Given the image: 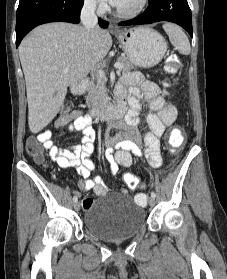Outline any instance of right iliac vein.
Wrapping results in <instances>:
<instances>
[{"instance_id": "63e3f726", "label": "right iliac vein", "mask_w": 227, "mask_h": 279, "mask_svg": "<svg viewBox=\"0 0 227 279\" xmlns=\"http://www.w3.org/2000/svg\"><path fill=\"white\" fill-rule=\"evenodd\" d=\"M80 206H81V205H80V202H75V203H74V209H75V210L78 211V210L80 209Z\"/></svg>"}]
</instances>
